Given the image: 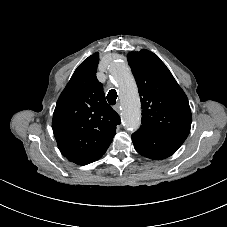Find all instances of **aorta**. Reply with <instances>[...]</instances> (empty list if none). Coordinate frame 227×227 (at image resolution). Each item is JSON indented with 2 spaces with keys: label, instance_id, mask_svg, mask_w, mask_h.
<instances>
[{
  "label": "aorta",
  "instance_id": "762f6f07",
  "mask_svg": "<svg viewBox=\"0 0 227 227\" xmlns=\"http://www.w3.org/2000/svg\"><path fill=\"white\" fill-rule=\"evenodd\" d=\"M110 75L118 84L122 95V121L126 128L137 129L141 123L140 103L137 96V88L127 64L121 60H115L109 67Z\"/></svg>",
  "mask_w": 227,
  "mask_h": 227
}]
</instances>
